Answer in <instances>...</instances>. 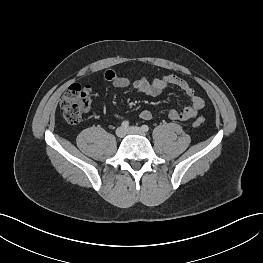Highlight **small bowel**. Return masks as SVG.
I'll list each match as a JSON object with an SVG mask.
<instances>
[{"instance_id": "1", "label": "small bowel", "mask_w": 263, "mask_h": 263, "mask_svg": "<svg viewBox=\"0 0 263 263\" xmlns=\"http://www.w3.org/2000/svg\"><path fill=\"white\" fill-rule=\"evenodd\" d=\"M104 78L113 88H127L132 86L136 92L154 97L160 95L169 85L178 87L189 98V104L181 111L170 110L168 112V118L173 121H188L194 118L203 108V100L196 95L189 83L172 74L163 75L153 81L148 80L146 77H141L132 82L127 77L117 75L113 70H107L104 73ZM114 116L116 119L122 118L121 115L117 113L114 114ZM139 117L143 120H150L153 115L149 110H142L139 113Z\"/></svg>"}]
</instances>
